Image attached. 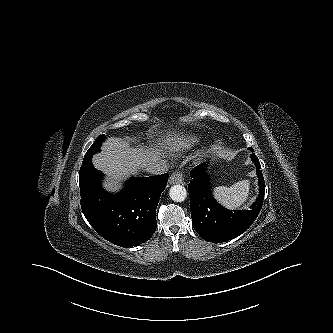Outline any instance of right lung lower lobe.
<instances>
[{"instance_id":"1","label":"right lung lower lobe","mask_w":333,"mask_h":333,"mask_svg":"<svg viewBox=\"0 0 333 333\" xmlns=\"http://www.w3.org/2000/svg\"><path fill=\"white\" fill-rule=\"evenodd\" d=\"M102 173L90 161L80 171L81 208L99 235L109 242L131 248L149 240L156 230V208L168 175L132 177L119 194L105 192Z\"/></svg>"}]
</instances>
